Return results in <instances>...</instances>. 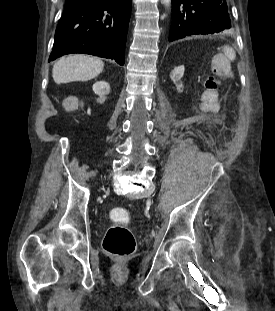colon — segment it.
<instances>
[{
  "label": "colon",
  "mask_w": 275,
  "mask_h": 311,
  "mask_svg": "<svg viewBox=\"0 0 275 311\" xmlns=\"http://www.w3.org/2000/svg\"><path fill=\"white\" fill-rule=\"evenodd\" d=\"M223 54H219L220 56ZM110 218L113 223L106 231L103 248L104 250L120 259L130 256L136 247V241L133 233L127 227L131 220L129 212L124 208H112Z\"/></svg>",
  "instance_id": "obj_1"
}]
</instances>
